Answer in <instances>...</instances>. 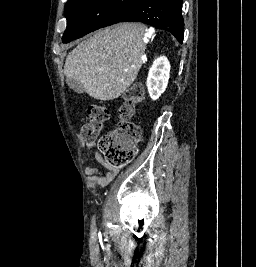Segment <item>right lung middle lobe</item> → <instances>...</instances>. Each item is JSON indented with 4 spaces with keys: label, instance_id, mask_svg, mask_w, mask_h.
<instances>
[{
    "label": "right lung middle lobe",
    "instance_id": "obj_1",
    "mask_svg": "<svg viewBox=\"0 0 256 267\" xmlns=\"http://www.w3.org/2000/svg\"><path fill=\"white\" fill-rule=\"evenodd\" d=\"M138 0H68L65 5L67 28L63 43L108 26L126 14Z\"/></svg>",
    "mask_w": 256,
    "mask_h": 267
}]
</instances>
